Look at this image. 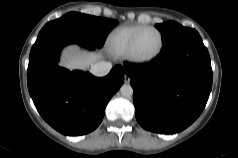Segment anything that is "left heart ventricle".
<instances>
[{
  "instance_id": "1",
  "label": "left heart ventricle",
  "mask_w": 238,
  "mask_h": 158,
  "mask_svg": "<svg viewBox=\"0 0 238 158\" xmlns=\"http://www.w3.org/2000/svg\"><path fill=\"white\" fill-rule=\"evenodd\" d=\"M159 46V36L153 30L141 34L136 45V54L141 57L152 55Z\"/></svg>"
}]
</instances>
